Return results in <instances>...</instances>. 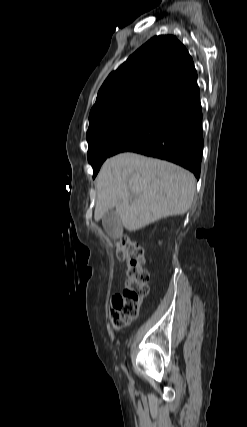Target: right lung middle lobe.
I'll return each instance as SVG.
<instances>
[{"mask_svg":"<svg viewBox=\"0 0 247 427\" xmlns=\"http://www.w3.org/2000/svg\"><path fill=\"white\" fill-rule=\"evenodd\" d=\"M152 106L127 107L109 112L89 124L87 131L88 161L96 177L102 163L114 149L134 132L156 109Z\"/></svg>","mask_w":247,"mask_h":427,"instance_id":"1","label":"right lung middle lobe"}]
</instances>
